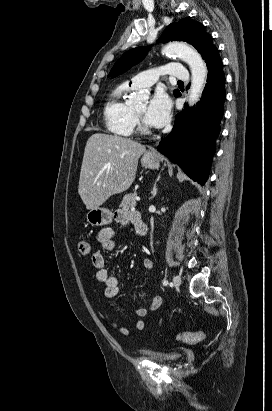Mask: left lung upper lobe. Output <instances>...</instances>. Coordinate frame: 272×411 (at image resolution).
Instances as JSON below:
<instances>
[{
    "mask_svg": "<svg viewBox=\"0 0 272 411\" xmlns=\"http://www.w3.org/2000/svg\"><path fill=\"white\" fill-rule=\"evenodd\" d=\"M173 40L186 41L192 44L205 60L216 48V46L213 45L212 37L206 33L204 26L190 18H185L177 23L168 25L159 39L160 42ZM147 51L148 48L146 47H137L127 51L114 64L108 77L113 78L124 73L139 63L145 57ZM179 94V90H174L175 97Z\"/></svg>",
    "mask_w": 272,
    "mask_h": 411,
    "instance_id": "obj_1",
    "label": "left lung upper lobe"
}]
</instances>
